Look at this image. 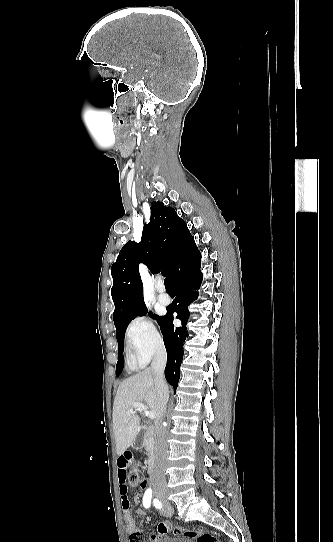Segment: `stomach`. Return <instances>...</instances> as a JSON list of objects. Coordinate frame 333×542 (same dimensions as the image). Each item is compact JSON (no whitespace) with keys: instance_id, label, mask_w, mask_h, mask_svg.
<instances>
[{"instance_id":"obj_1","label":"stomach","mask_w":333,"mask_h":542,"mask_svg":"<svg viewBox=\"0 0 333 542\" xmlns=\"http://www.w3.org/2000/svg\"><path fill=\"white\" fill-rule=\"evenodd\" d=\"M143 442H144V436H142L141 440H134L132 446L133 448H141Z\"/></svg>"}]
</instances>
